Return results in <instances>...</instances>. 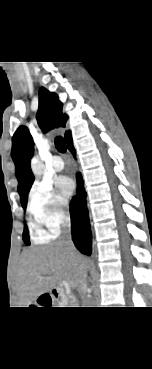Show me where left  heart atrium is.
<instances>
[{
    "instance_id": "39dd6f15",
    "label": "left heart atrium",
    "mask_w": 152,
    "mask_h": 369,
    "mask_svg": "<svg viewBox=\"0 0 152 369\" xmlns=\"http://www.w3.org/2000/svg\"><path fill=\"white\" fill-rule=\"evenodd\" d=\"M56 187L65 198H69L74 190L72 180L66 176H61L56 180Z\"/></svg>"
}]
</instances>
